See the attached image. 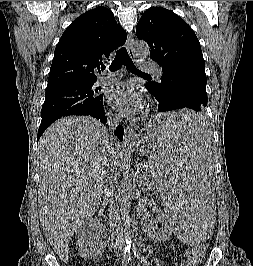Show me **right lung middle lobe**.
Instances as JSON below:
<instances>
[{
    "mask_svg": "<svg viewBox=\"0 0 253 266\" xmlns=\"http://www.w3.org/2000/svg\"><path fill=\"white\" fill-rule=\"evenodd\" d=\"M95 82H72L47 88L40 126L50 125L61 117L81 115L102 105L101 88L96 87Z\"/></svg>",
    "mask_w": 253,
    "mask_h": 266,
    "instance_id": "right-lung-middle-lobe-1",
    "label": "right lung middle lobe"
}]
</instances>
